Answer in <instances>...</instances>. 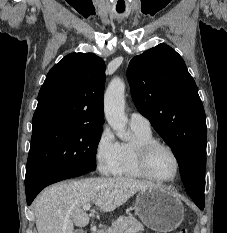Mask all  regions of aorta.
<instances>
[{"mask_svg":"<svg viewBox=\"0 0 227 233\" xmlns=\"http://www.w3.org/2000/svg\"><path fill=\"white\" fill-rule=\"evenodd\" d=\"M125 84L120 78H114L104 95V113L108 124L121 140H129L126 131L127 117L125 115Z\"/></svg>","mask_w":227,"mask_h":233,"instance_id":"aorta-1","label":"aorta"}]
</instances>
